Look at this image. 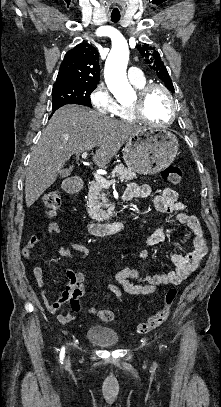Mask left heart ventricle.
Wrapping results in <instances>:
<instances>
[{
	"label": "left heart ventricle",
	"instance_id": "left-heart-ventricle-1",
	"mask_svg": "<svg viewBox=\"0 0 221 407\" xmlns=\"http://www.w3.org/2000/svg\"><path fill=\"white\" fill-rule=\"evenodd\" d=\"M145 114L153 122L166 123L171 114L170 103L165 93L159 89L153 90L145 103Z\"/></svg>",
	"mask_w": 221,
	"mask_h": 407
}]
</instances>
